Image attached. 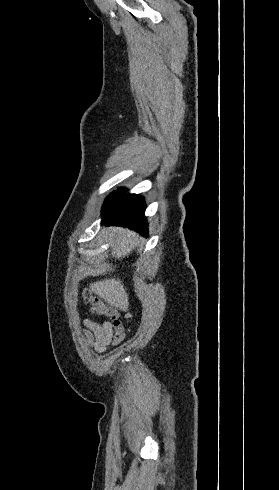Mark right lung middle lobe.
Returning a JSON list of instances; mask_svg holds the SVG:
<instances>
[{
  "label": "right lung middle lobe",
  "instance_id": "right-lung-middle-lobe-1",
  "mask_svg": "<svg viewBox=\"0 0 279 490\" xmlns=\"http://www.w3.org/2000/svg\"><path fill=\"white\" fill-rule=\"evenodd\" d=\"M126 191V189L124 188H120L118 191H114L113 193H111L105 200L104 204H103V214H105L108 209L110 208L111 206V203L113 202V200L118 197L119 195H121L122 193H124Z\"/></svg>",
  "mask_w": 279,
  "mask_h": 490
}]
</instances>
